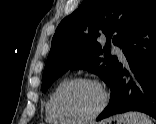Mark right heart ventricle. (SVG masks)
<instances>
[{
	"instance_id": "obj_1",
	"label": "right heart ventricle",
	"mask_w": 156,
	"mask_h": 124,
	"mask_svg": "<svg viewBox=\"0 0 156 124\" xmlns=\"http://www.w3.org/2000/svg\"><path fill=\"white\" fill-rule=\"evenodd\" d=\"M71 80L69 76L62 78L52 89L50 94L47 97L46 104H45V119L48 123L51 124H70V122L62 119L56 112L53 106L54 97L59 90V88L66 83L67 81Z\"/></svg>"
}]
</instances>
